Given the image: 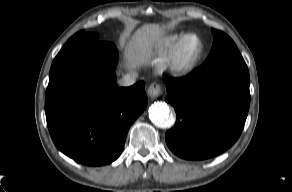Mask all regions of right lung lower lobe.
<instances>
[{"label": "right lung lower lobe", "mask_w": 292, "mask_h": 192, "mask_svg": "<svg viewBox=\"0 0 292 192\" xmlns=\"http://www.w3.org/2000/svg\"><path fill=\"white\" fill-rule=\"evenodd\" d=\"M113 43L64 45L53 60L46 90L47 126L56 147L78 163L116 160L127 132L147 105L144 82L118 88Z\"/></svg>", "instance_id": "right-lung-lower-lobe-1"}]
</instances>
